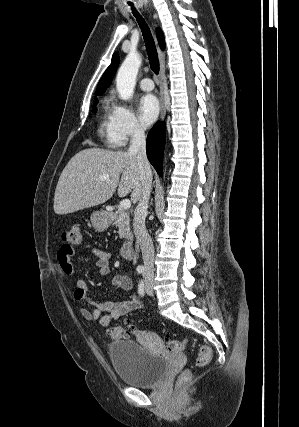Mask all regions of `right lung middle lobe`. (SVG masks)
<instances>
[{"instance_id":"right-lung-middle-lobe-1","label":"right lung middle lobe","mask_w":299,"mask_h":427,"mask_svg":"<svg viewBox=\"0 0 299 427\" xmlns=\"http://www.w3.org/2000/svg\"><path fill=\"white\" fill-rule=\"evenodd\" d=\"M97 103H98V99H97V98H95V99H94V103H93V105H94V106H96V104H97ZM93 111H94V112L96 111V108H95V107L93 108Z\"/></svg>"}]
</instances>
